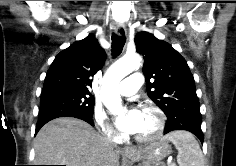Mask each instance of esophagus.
<instances>
[{"mask_svg": "<svg viewBox=\"0 0 236 166\" xmlns=\"http://www.w3.org/2000/svg\"><path fill=\"white\" fill-rule=\"evenodd\" d=\"M115 32L118 36L120 37H123V38H126L127 36V31H126V28L124 25H118L116 28H115ZM124 151L126 153H133V152H136V149L131 147V146H126L124 148Z\"/></svg>", "mask_w": 236, "mask_h": 166, "instance_id": "obj_1", "label": "esophagus"}]
</instances>
